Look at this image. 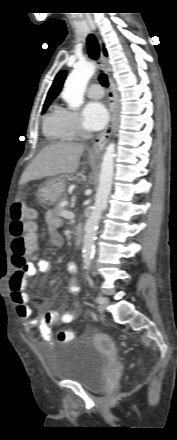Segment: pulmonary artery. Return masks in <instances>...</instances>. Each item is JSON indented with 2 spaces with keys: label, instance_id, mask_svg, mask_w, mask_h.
<instances>
[{
  "label": "pulmonary artery",
  "instance_id": "1",
  "mask_svg": "<svg viewBox=\"0 0 177 440\" xmlns=\"http://www.w3.org/2000/svg\"><path fill=\"white\" fill-rule=\"evenodd\" d=\"M87 95L92 99H100L104 95V89L99 84H92L87 91Z\"/></svg>",
  "mask_w": 177,
  "mask_h": 440
}]
</instances>
